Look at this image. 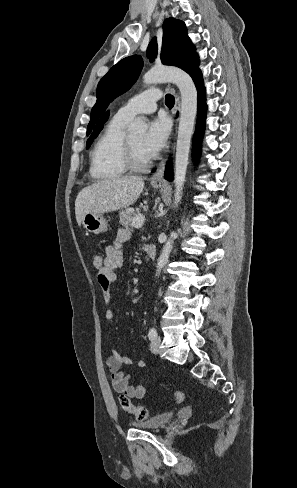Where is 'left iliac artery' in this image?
Listing matches in <instances>:
<instances>
[{"label":"left iliac artery","mask_w":297,"mask_h":488,"mask_svg":"<svg viewBox=\"0 0 297 488\" xmlns=\"http://www.w3.org/2000/svg\"><path fill=\"white\" fill-rule=\"evenodd\" d=\"M157 336V331L156 329L153 327L149 330V333H148V337L150 340H153L155 337Z\"/></svg>","instance_id":"1"}]
</instances>
